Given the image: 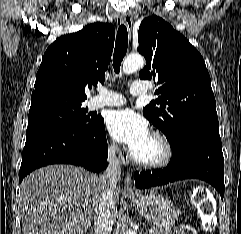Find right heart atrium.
I'll return each instance as SVG.
<instances>
[{"mask_svg":"<svg viewBox=\"0 0 241 234\" xmlns=\"http://www.w3.org/2000/svg\"><path fill=\"white\" fill-rule=\"evenodd\" d=\"M106 150L108 156L112 159L118 158L121 153L120 147L115 140H110L107 142Z\"/></svg>","mask_w":241,"mask_h":234,"instance_id":"1","label":"right heart atrium"}]
</instances>
